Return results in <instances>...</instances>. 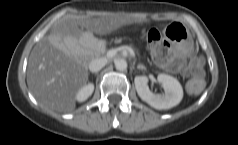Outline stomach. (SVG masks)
Listing matches in <instances>:
<instances>
[{"label": "stomach", "mask_w": 238, "mask_h": 145, "mask_svg": "<svg viewBox=\"0 0 238 145\" xmlns=\"http://www.w3.org/2000/svg\"><path fill=\"white\" fill-rule=\"evenodd\" d=\"M164 36L180 51L193 47L194 37L179 21H168L163 28Z\"/></svg>", "instance_id": "obj_1"}]
</instances>
